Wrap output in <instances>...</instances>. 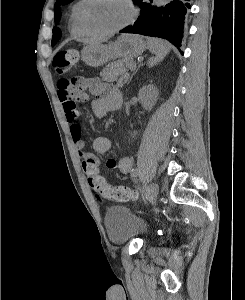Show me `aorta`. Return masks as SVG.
Listing matches in <instances>:
<instances>
[{
	"label": "aorta",
	"instance_id": "obj_1",
	"mask_svg": "<svg viewBox=\"0 0 245 300\" xmlns=\"http://www.w3.org/2000/svg\"><path fill=\"white\" fill-rule=\"evenodd\" d=\"M170 0H153V5L157 7H161L166 5Z\"/></svg>",
	"mask_w": 245,
	"mask_h": 300
}]
</instances>
